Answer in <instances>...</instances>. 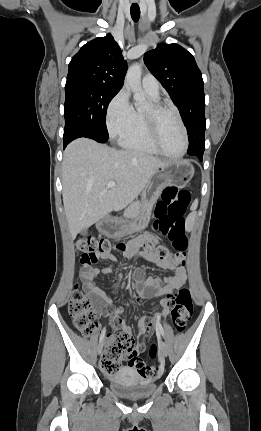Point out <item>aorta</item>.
<instances>
[{"label": "aorta", "mask_w": 261, "mask_h": 431, "mask_svg": "<svg viewBox=\"0 0 261 431\" xmlns=\"http://www.w3.org/2000/svg\"><path fill=\"white\" fill-rule=\"evenodd\" d=\"M141 73L142 68L136 63L129 67L125 78L126 86L133 92L135 105L138 107L146 102L145 94L141 87Z\"/></svg>", "instance_id": "aorta-1"}]
</instances>
